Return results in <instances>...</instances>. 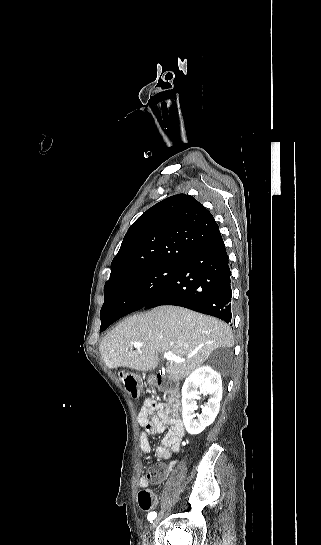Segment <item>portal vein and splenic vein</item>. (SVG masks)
Masks as SVG:
<instances>
[{"label": "portal vein and splenic vein", "mask_w": 321, "mask_h": 545, "mask_svg": "<svg viewBox=\"0 0 321 545\" xmlns=\"http://www.w3.org/2000/svg\"><path fill=\"white\" fill-rule=\"evenodd\" d=\"M143 343H133L134 349H140L142 347ZM165 359L167 361H171V363H183V361H188V359H181V357H177V355H173L172 351H167L165 353Z\"/></svg>", "instance_id": "1"}]
</instances>
